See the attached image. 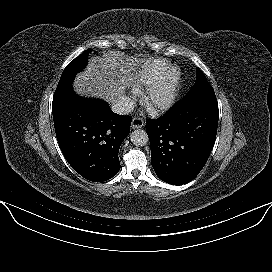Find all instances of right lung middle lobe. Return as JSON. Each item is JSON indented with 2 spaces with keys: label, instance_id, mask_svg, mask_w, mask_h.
Segmentation results:
<instances>
[{
  "label": "right lung middle lobe",
  "instance_id": "dd1d6c3e",
  "mask_svg": "<svg viewBox=\"0 0 272 272\" xmlns=\"http://www.w3.org/2000/svg\"><path fill=\"white\" fill-rule=\"evenodd\" d=\"M92 49L85 50L81 55L76 57L70 62V64L63 71L60 81L58 83L57 89L53 96L54 107L58 102H60L67 94L73 91L72 81L76 73L82 70L87 65V57Z\"/></svg>",
  "mask_w": 272,
  "mask_h": 272
}]
</instances>
